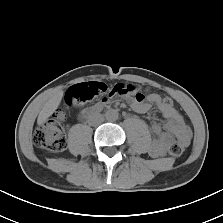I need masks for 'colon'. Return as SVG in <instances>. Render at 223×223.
<instances>
[{
    "mask_svg": "<svg viewBox=\"0 0 223 223\" xmlns=\"http://www.w3.org/2000/svg\"><path fill=\"white\" fill-rule=\"evenodd\" d=\"M106 91L105 84L101 82H85L71 86L66 92L68 103H85ZM112 96H132L138 100H143L144 90L134 83H118L111 90ZM165 107L174 105L172 96L163 98ZM65 119L63 111H57L50 120L39 126L33 136L34 143L37 147L49 150L51 152H60L66 148L67 138L61 122ZM169 153L174 157H180L184 153V146L179 141H174L169 146Z\"/></svg>",
    "mask_w": 223,
    "mask_h": 223,
    "instance_id": "5ec220e1",
    "label": "colon"
}]
</instances>
